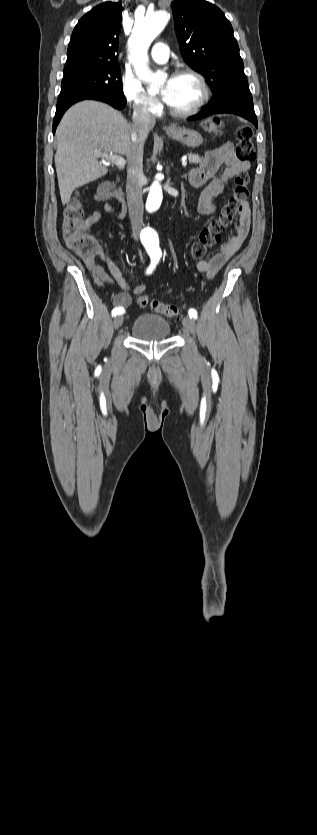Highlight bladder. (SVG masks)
I'll return each instance as SVG.
<instances>
[{
	"mask_svg": "<svg viewBox=\"0 0 317 835\" xmlns=\"http://www.w3.org/2000/svg\"><path fill=\"white\" fill-rule=\"evenodd\" d=\"M131 334L141 341L166 340L171 335L170 322L157 314L138 316L131 326Z\"/></svg>",
	"mask_w": 317,
	"mask_h": 835,
	"instance_id": "1",
	"label": "bladder"
}]
</instances>
